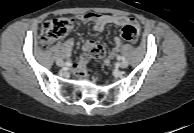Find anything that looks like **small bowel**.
<instances>
[{
    "instance_id": "c3829d8e",
    "label": "small bowel",
    "mask_w": 194,
    "mask_h": 133,
    "mask_svg": "<svg viewBox=\"0 0 194 133\" xmlns=\"http://www.w3.org/2000/svg\"><path fill=\"white\" fill-rule=\"evenodd\" d=\"M77 19L80 20L82 23H87V22H93L94 23V30L96 32H102L105 28L106 25L108 24H114L120 27H126V26H133L137 32L140 30V26L138 22L130 17L126 16H117V15H108V14H98V13H86L84 15H79L77 16ZM71 25H74L75 20L70 21ZM94 44L93 41H88L86 42L83 46L82 49L84 51H89L90 47ZM60 50L61 53L64 57L68 58L71 54V51L74 47V40L72 38H69L62 42L60 45ZM122 46V41L119 37L114 38V47L109 53L107 63L110 62L118 52L120 51Z\"/></svg>"
}]
</instances>
